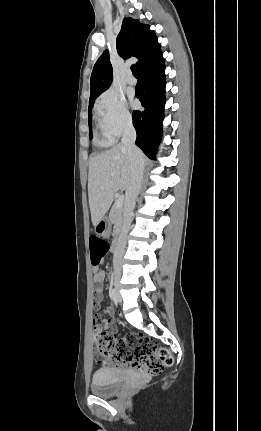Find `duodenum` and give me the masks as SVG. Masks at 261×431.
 <instances>
[{
    "label": "duodenum",
    "instance_id": "410a0bca",
    "mask_svg": "<svg viewBox=\"0 0 261 431\" xmlns=\"http://www.w3.org/2000/svg\"><path fill=\"white\" fill-rule=\"evenodd\" d=\"M118 246H119V239H117L113 244L114 249H117Z\"/></svg>",
    "mask_w": 261,
    "mask_h": 431
}]
</instances>
